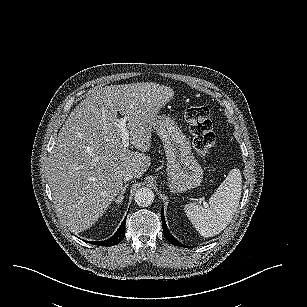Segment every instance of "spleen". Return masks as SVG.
<instances>
[{
	"label": "spleen",
	"mask_w": 307,
	"mask_h": 307,
	"mask_svg": "<svg viewBox=\"0 0 307 307\" xmlns=\"http://www.w3.org/2000/svg\"><path fill=\"white\" fill-rule=\"evenodd\" d=\"M241 193L242 175L240 169L234 167L210 197L208 204L189 202L184 210L202 237H214L220 234L234 218Z\"/></svg>",
	"instance_id": "1"
}]
</instances>
